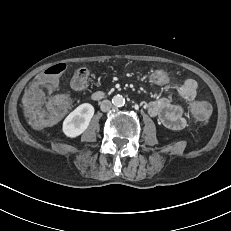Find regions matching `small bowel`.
I'll list each match as a JSON object with an SVG mask.
<instances>
[{"instance_id":"1","label":"small bowel","mask_w":231,"mask_h":231,"mask_svg":"<svg viewBox=\"0 0 231 231\" xmlns=\"http://www.w3.org/2000/svg\"><path fill=\"white\" fill-rule=\"evenodd\" d=\"M197 86L195 80L188 79L175 89V96L184 101H192L197 95ZM173 99L174 95H169L151 101L148 104V113L150 116L157 118L164 127L171 130H180L185 127L186 120L183 108L175 104Z\"/></svg>"}]
</instances>
